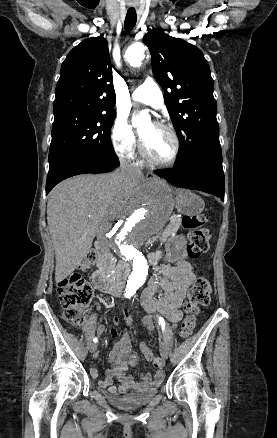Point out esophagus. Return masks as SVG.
Segmentation results:
<instances>
[{"label":"esophagus","instance_id":"obj_1","mask_svg":"<svg viewBox=\"0 0 277 438\" xmlns=\"http://www.w3.org/2000/svg\"><path fill=\"white\" fill-rule=\"evenodd\" d=\"M151 177H152V175L148 173L147 174V178H151Z\"/></svg>","mask_w":277,"mask_h":438}]
</instances>
